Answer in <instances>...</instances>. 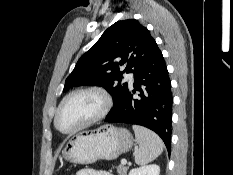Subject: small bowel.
Returning a JSON list of instances; mask_svg holds the SVG:
<instances>
[{"mask_svg":"<svg viewBox=\"0 0 233 175\" xmlns=\"http://www.w3.org/2000/svg\"><path fill=\"white\" fill-rule=\"evenodd\" d=\"M75 175H113L110 174L108 172L105 171H96L94 169L91 168H84V169H80L78 170Z\"/></svg>","mask_w":233,"mask_h":175,"instance_id":"small-bowel-1","label":"small bowel"}]
</instances>
